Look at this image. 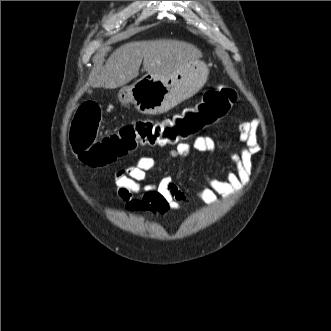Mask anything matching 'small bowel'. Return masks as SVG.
Listing matches in <instances>:
<instances>
[{"label":"small bowel","mask_w":331,"mask_h":331,"mask_svg":"<svg viewBox=\"0 0 331 331\" xmlns=\"http://www.w3.org/2000/svg\"><path fill=\"white\" fill-rule=\"evenodd\" d=\"M242 148L237 152H229L234 164V171H227L223 178L205 174L206 186L196 190V196L207 205H214L219 198H229L248 182L252 171V157L260 150L257 130L259 121L235 122ZM192 149L213 154L217 151L216 142L208 136L197 137L192 143H179L169 152L171 157L187 159ZM155 166L151 157H140L126 168L114 174L116 192L125 203L129 212L163 216L170 210H181L186 195L168 176L156 183H146L148 172Z\"/></svg>","instance_id":"obj_1"}]
</instances>
